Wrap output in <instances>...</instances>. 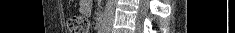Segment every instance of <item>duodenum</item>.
<instances>
[{
	"label": "duodenum",
	"instance_id": "410a0bca",
	"mask_svg": "<svg viewBox=\"0 0 235 33\" xmlns=\"http://www.w3.org/2000/svg\"><path fill=\"white\" fill-rule=\"evenodd\" d=\"M97 25H98L99 31H102L103 30V26H104V21H103V17L102 16L98 17Z\"/></svg>",
	"mask_w": 235,
	"mask_h": 33
}]
</instances>
